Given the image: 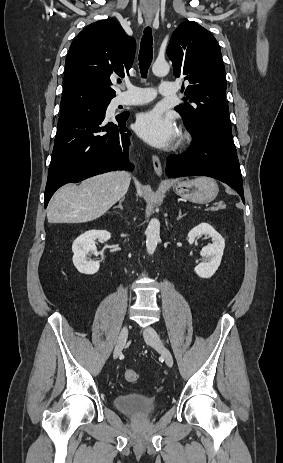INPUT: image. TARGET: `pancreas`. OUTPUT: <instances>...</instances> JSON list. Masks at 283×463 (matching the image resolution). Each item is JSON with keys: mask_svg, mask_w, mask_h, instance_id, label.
<instances>
[{"mask_svg": "<svg viewBox=\"0 0 283 463\" xmlns=\"http://www.w3.org/2000/svg\"><path fill=\"white\" fill-rule=\"evenodd\" d=\"M218 208H214L213 210H217Z\"/></svg>", "mask_w": 283, "mask_h": 463, "instance_id": "pancreas-1", "label": "pancreas"}]
</instances>
